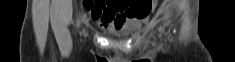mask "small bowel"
I'll return each instance as SVG.
<instances>
[{
  "label": "small bowel",
  "mask_w": 235,
  "mask_h": 62,
  "mask_svg": "<svg viewBox=\"0 0 235 62\" xmlns=\"http://www.w3.org/2000/svg\"><path fill=\"white\" fill-rule=\"evenodd\" d=\"M87 8L92 19L104 27L112 24L119 29L124 25L127 17H137L133 14L127 1H99Z\"/></svg>",
  "instance_id": "obj_1"
}]
</instances>
